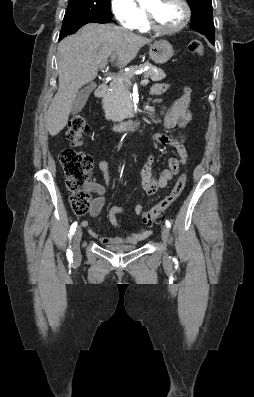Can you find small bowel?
Instances as JSON below:
<instances>
[{"label":"small bowel","instance_id":"obj_1","mask_svg":"<svg viewBox=\"0 0 254 397\" xmlns=\"http://www.w3.org/2000/svg\"><path fill=\"white\" fill-rule=\"evenodd\" d=\"M168 83H157L151 88V94L154 96L161 95L169 89ZM191 100V89L185 87L183 89V94L175 100V102L163 112L164 114V126L166 129H174L176 127L180 129H185L192 120V113L188 106ZM153 139L159 143L170 145L176 152V157L168 158L166 161V167L161 168L155 175L153 174V163L154 156L149 154L146 163L139 172V177L141 179V185L145 193L149 196L159 193L161 190L165 189L173 177L178 173L179 168L187 160V151L183 145L184 135L180 139L169 138L164 134H154ZM100 170L103 174L104 185L92 184L89 185V189L96 192L98 196L93 200L90 214L92 217L96 218L99 216L104 203V193L106 186L109 184L110 175L109 167L107 161L103 160L99 163ZM134 211L137 214H142L144 208L141 204L137 203L134 205ZM126 214V210L119 206H113L108 212V219L112 226L117 229H122L121 225L117 220V215ZM84 227H87V222H82ZM90 235L104 245H121V244H135L143 239L147 238L151 234V230L142 228L138 232L127 233L125 237H105L100 233L88 228Z\"/></svg>","mask_w":254,"mask_h":397}]
</instances>
